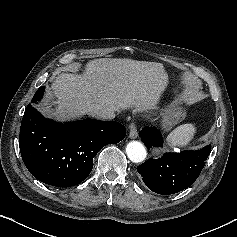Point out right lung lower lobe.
Wrapping results in <instances>:
<instances>
[{
    "label": "right lung lower lobe",
    "mask_w": 237,
    "mask_h": 237,
    "mask_svg": "<svg viewBox=\"0 0 237 237\" xmlns=\"http://www.w3.org/2000/svg\"><path fill=\"white\" fill-rule=\"evenodd\" d=\"M44 90V86L37 90L32 104L42 98ZM32 104L22 118L19 147L29 172L45 184L70 187L81 183L99 150L126 135V128L115 121L84 119L59 124L44 118Z\"/></svg>",
    "instance_id": "1"
}]
</instances>
